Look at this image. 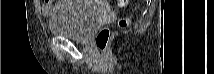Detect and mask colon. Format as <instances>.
I'll return each mask as SVG.
<instances>
[{
	"label": "colon",
	"mask_w": 214,
	"mask_h": 74,
	"mask_svg": "<svg viewBox=\"0 0 214 74\" xmlns=\"http://www.w3.org/2000/svg\"><path fill=\"white\" fill-rule=\"evenodd\" d=\"M128 0H118L116 1V7L122 9L126 6ZM119 28H126L129 24V18L123 17L118 20ZM111 36V31L108 27L101 28L96 35V44L102 50H106Z\"/></svg>",
	"instance_id": "obj_1"
}]
</instances>
